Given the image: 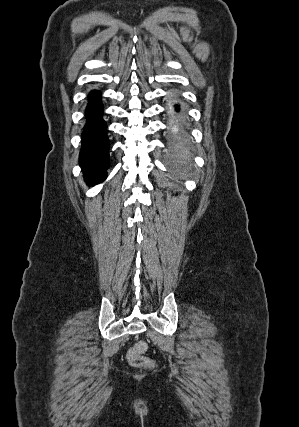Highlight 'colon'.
I'll return each mask as SVG.
<instances>
[{
  "label": "colon",
  "instance_id": "obj_1",
  "mask_svg": "<svg viewBox=\"0 0 299 427\" xmlns=\"http://www.w3.org/2000/svg\"><path fill=\"white\" fill-rule=\"evenodd\" d=\"M148 345L144 341H140L132 346L127 353L129 364L137 368L149 369L154 366V361L144 355Z\"/></svg>",
  "mask_w": 299,
  "mask_h": 427
}]
</instances>
